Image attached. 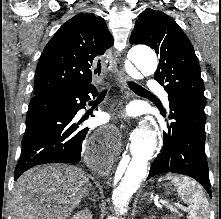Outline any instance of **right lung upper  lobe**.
<instances>
[{"label": "right lung upper lobe", "mask_w": 221, "mask_h": 219, "mask_svg": "<svg viewBox=\"0 0 221 219\" xmlns=\"http://www.w3.org/2000/svg\"><path fill=\"white\" fill-rule=\"evenodd\" d=\"M113 37L103 18L78 14L64 23L39 59L34 96L90 85Z\"/></svg>", "instance_id": "right-lung-upper-lobe-1"}]
</instances>
